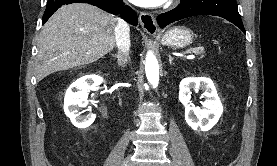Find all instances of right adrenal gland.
I'll use <instances>...</instances> for the list:
<instances>
[{
    "label": "right adrenal gland",
    "mask_w": 277,
    "mask_h": 166,
    "mask_svg": "<svg viewBox=\"0 0 277 166\" xmlns=\"http://www.w3.org/2000/svg\"><path fill=\"white\" fill-rule=\"evenodd\" d=\"M113 57L117 58V62L119 66H122L123 64H125L126 60L124 59V57L118 53V54H112Z\"/></svg>",
    "instance_id": "right-adrenal-gland-1"
}]
</instances>
